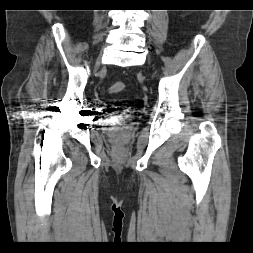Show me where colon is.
<instances>
[{
    "instance_id": "obj_1",
    "label": "colon",
    "mask_w": 253,
    "mask_h": 253,
    "mask_svg": "<svg viewBox=\"0 0 253 253\" xmlns=\"http://www.w3.org/2000/svg\"><path fill=\"white\" fill-rule=\"evenodd\" d=\"M124 90V83L123 82H115L109 88L111 93H120Z\"/></svg>"
}]
</instances>
